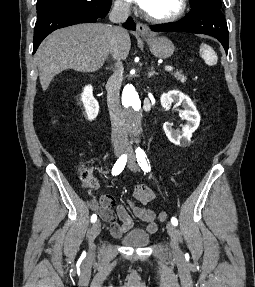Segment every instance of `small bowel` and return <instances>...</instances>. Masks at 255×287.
Here are the masks:
<instances>
[{"label": "small bowel", "mask_w": 255, "mask_h": 287, "mask_svg": "<svg viewBox=\"0 0 255 287\" xmlns=\"http://www.w3.org/2000/svg\"><path fill=\"white\" fill-rule=\"evenodd\" d=\"M155 197V193L150 187L138 184L133 191L134 201H129L127 206L123 204L116 205L115 199L111 195H102L99 201L92 200L90 207L103 219L105 225L115 238L121 237L133 226V220L128 212V208L138 220L146 224L148 232L154 233L157 231L156 214L154 211L141 205L153 202ZM115 205L116 209L114 210L113 207Z\"/></svg>", "instance_id": "1"}]
</instances>
